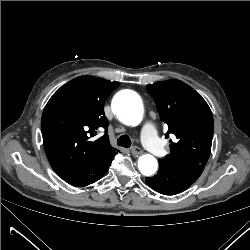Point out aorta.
Masks as SVG:
<instances>
[{
	"label": "aorta",
	"instance_id": "1",
	"mask_svg": "<svg viewBox=\"0 0 250 250\" xmlns=\"http://www.w3.org/2000/svg\"><path fill=\"white\" fill-rule=\"evenodd\" d=\"M112 110L122 116L124 123L137 124L142 120L144 109L140 97L133 91L119 92L112 101ZM158 167L156 158L150 154L139 157L138 168L145 176L153 175Z\"/></svg>",
	"mask_w": 250,
	"mask_h": 250
}]
</instances>
